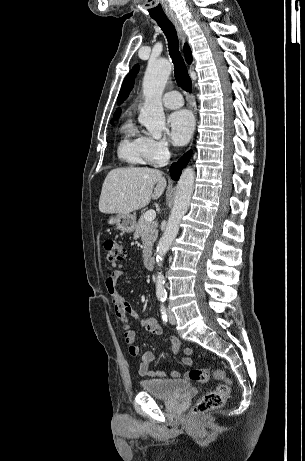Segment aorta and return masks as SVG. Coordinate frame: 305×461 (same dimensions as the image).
<instances>
[{"label": "aorta", "instance_id": "obj_1", "mask_svg": "<svg viewBox=\"0 0 305 461\" xmlns=\"http://www.w3.org/2000/svg\"><path fill=\"white\" fill-rule=\"evenodd\" d=\"M171 69V64L166 59L151 60L143 78L145 103L141 108L139 121L154 138H160L165 129V114L161 97L171 74ZM194 179L195 172L192 168L184 169L179 178L174 206L156 249V263L158 266H161L164 256L178 234L181 219L188 210L193 194ZM164 283L162 273L158 272L156 276V295L158 297H163L166 294Z\"/></svg>", "mask_w": 305, "mask_h": 461}]
</instances>
